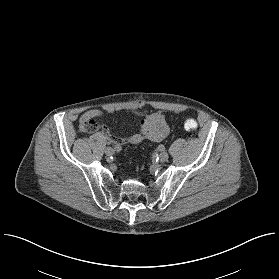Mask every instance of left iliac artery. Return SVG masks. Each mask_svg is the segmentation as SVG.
Masks as SVG:
<instances>
[{"mask_svg":"<svg viewBox=\"0 0 279 279\" xmlns=\"http://www.w3.org/2000/svg\"><path fill=\"white\" fill-rule=\"evenodd\" d=\"M159 149H160V150H164V149H165V146L161 144V145H159Z\"/></svg>","mask_w":279,"mask_h":279,"instance_id":"left-iliac-artery-1","label":"left iliac artery"}]
</instances>
